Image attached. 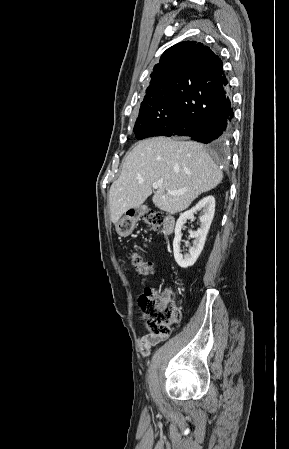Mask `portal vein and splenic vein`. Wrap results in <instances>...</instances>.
<instances>
[{
  "label": "portal vein and splenic vein",
  "instance_id": "portal-vein-and-splenic-vein-1",
  "mask_svg": "<svg viewBox=\"0 0 289 449\" xmlns=\"http://www.w3.org/2000/svg\"><path fill=\"white\" fill-rule=\"evenodd\" d=\"M160 186H161V182L153 183V185H152L153 189H158ZM167 192L169 194H172V195H180V194H182L181 191L168 190Z\"/></svg>",
  "mask_w": 289,
  "mask_h": 449
}]
</instances>
